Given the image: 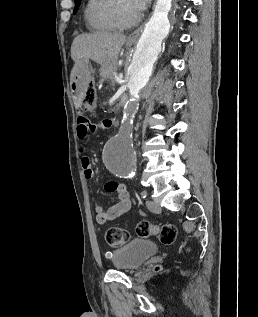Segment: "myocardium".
Here are the masks:
<instances>
[{
  "label": "myocardium",
  "instance_id": "myocardium-1",
  "mask_svg": "<svg viewBox=\"0 0 258 317\" xmlns=\"http://www.w3.org/2000/svg\"><path fill=\"white\" fill-rule=\"evenodd\" d=\"M124 5H128L136 10L134 18L129 24H124L120 18V11ZM108 17L116 30H123L125 28H131L136 26L140 22L141 14H140V11L135 6V4L133 3V1L115 0V2L109 8Z\"/></svg>",
  "mask_w": 258,
  "mask_h": 317
}]
</instances>
